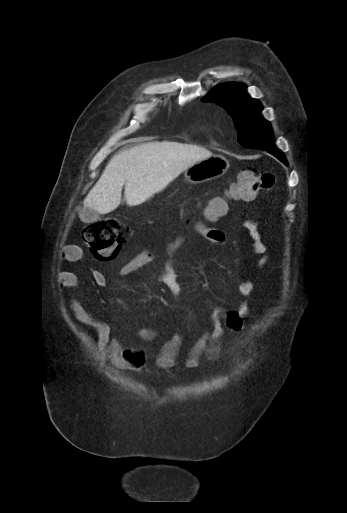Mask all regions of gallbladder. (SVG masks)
Masks as SVG:
<instances>
[{"label":"gallbladder","instance_id":"obj_1","mask_svg":"<svg viewBox=\"0 0 347 513\" xmlns=\"http://www.w3.org/2000/svg\"><path fill=\"white\" fill-rule=\"evenodd\" d=\"M79 216L85 223H91L99 219V214L96 211L89 209L80 210Z\"/></svg>","mask_w":347,"mask_h":513}]
</instances>
